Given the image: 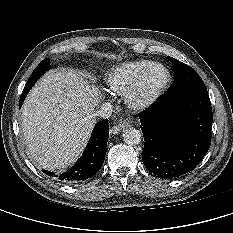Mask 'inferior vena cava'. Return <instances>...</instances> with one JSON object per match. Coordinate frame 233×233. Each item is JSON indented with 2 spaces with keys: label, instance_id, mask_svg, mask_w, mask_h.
<instances>
[{
  "label": "inferior vena cava",
  "instance_id": "1",
  "mask_svg": "<svg viewBox=\"0 0 233 233\" xmlns=\"http://www.w3.org/2000/svg\"><path fill=\"white\" fill-rule=\"evenodd\" d=\"M112 111H113L112 105L110 103L105 102L99 107L95 115L103 119H107L111 116Z\"/></svg>",
  "mask_w": 233,
  "mask_h": 233
}]
</instances>
